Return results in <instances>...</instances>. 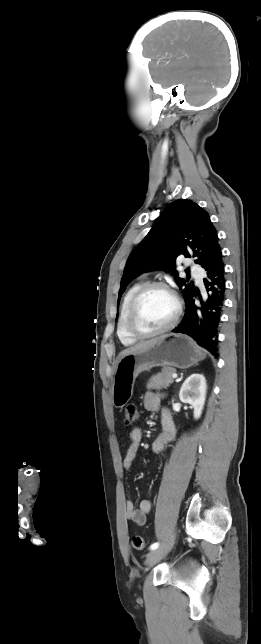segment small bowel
I'll use <instances>...</instances> for the list:
<instances>
[{
	"label": "small bowel",
	"mask_w": 261,
	"mask_h": 644,
	"mask_svg": "<svg viewBox=\"0 0 261 644\" xmlns=\"http://www.w3.org/2000/svg\"><path fill=\"white\" fill-rule=\"evenodd\" d=\"M144 408L150 412H158L161 407V395L156 392H147L143 399ZM162 431L156 436L152 442V451L155 454L160 453L164 448L169 445L176 436V427L172 419L171 413L167 409L161 412ZM142 438V431L140 428H134L130 432V443L128 445L126 455L123 461L125 470H129L132 463L136 459L140 442ZM151 510V502L148 499L140 501L138 508L135 507L131 500L125 503V517L142 526L146 522L148 513Z\"/></svg>",
	"instance_id": "obj_1"
}]
</instances>
